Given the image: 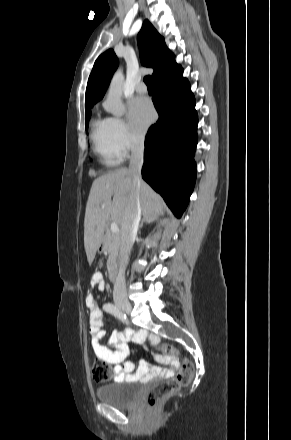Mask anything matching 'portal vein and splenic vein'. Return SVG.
<instances>
[{"label":"portal vein and splenic vein","instance_id":"portal-vein-and-splenic-vein-1","mask_svg":"<svg viewBox=\"0 0 291 440\" xmlns=\"http://www.w3.org/2000/svg\"><path fill=\"white\" fill-rule=\"evenodd\" d=\"M110 230L112 233H116L118 231V225L116 222L111 223Z\"/></svg>","mask_w":291,"mask_h":440}]
</instances>
